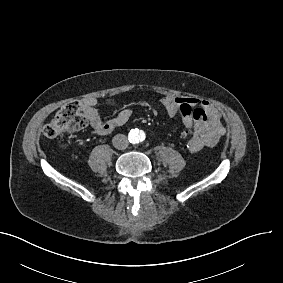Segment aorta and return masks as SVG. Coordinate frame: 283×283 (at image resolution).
Returning <instances> with one entry per match:
<instances>
[{"label":"aorta","mask_w":283,"mask_h":283,"mask_svg":"<svg viewBox=\"0 0 283 283\" xmlns=\"http://www.w3.org/2000/svg\"><path fill=\"white\" fill-rule=\"evenodd\" d=\"M146 138L145 132L141 129L135 128L131 129L128 134V139L130 143L137 144L144 141Z\"/></svg>","instance_id":"762f6f07"}]
</instances>
